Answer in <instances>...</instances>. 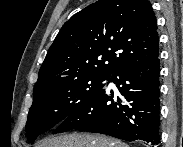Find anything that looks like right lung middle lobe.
<instances>
[{"mask_svg":"<svg viewBox=\"0 0 183 147\" xmlns=\"http://www.w3.org/2000/svg\"><path fill=\"white\" fill-rule=\"evenodd\" d=\"M110 77L84 76L33 91V103L26 123L29 142L65 118L101 90Z\"/></svg>","mask_w":183,"mask_h":147,"instance_id":"right-lung-middle-lobe-1","label":"right lung middle lobe"}]
</instances>
